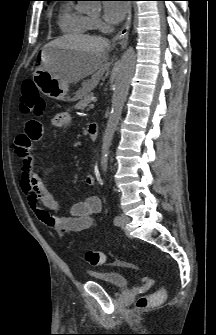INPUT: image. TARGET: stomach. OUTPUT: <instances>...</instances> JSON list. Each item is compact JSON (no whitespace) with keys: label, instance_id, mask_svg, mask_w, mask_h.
<instances>
[{"label":"stomach","instance_id":"0dacf381","mask_svg":"<svg viewBox=\"0 0 216 335\" xmlns=\"http://www.w3.org/2000/svg\"><path fill=\"white\" fill-rule=\"evenodd\" d=\"M78 52L73 49L45 46L41 52V67L33 75L38 89L46 96L73 102L81 98L82 89L69 95V82L58 75L70 64Z\"/></svg>","mask_w":216,"mask_h":335}]
</instances>
